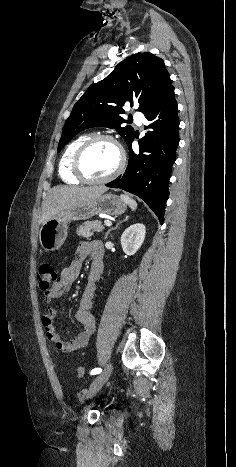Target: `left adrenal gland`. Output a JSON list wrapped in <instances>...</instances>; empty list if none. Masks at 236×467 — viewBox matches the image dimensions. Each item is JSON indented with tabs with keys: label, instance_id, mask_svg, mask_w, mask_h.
I'll return each instance as SVG.
<instances>
[{
	"label": "left adrenal gland",
	"instance_id": "obj_1",
	"mask_svg": "<svg viewBox=\"0 0 236 467\" xmlns=\"http://www.w3.org/2000/svg\"><path fill=\"white\" fill-rule=\"evenodd\" d=\"M128 218H129V217L127 216L124 220H122V221H120L119 223H117L116 226H115L114 228L109 229V230L106 232L105 238H104V239L106 240V239L108 238V235L110 234V232L113 231V230H115V229H117L118 226H119V224H121L122 222L127 221Z\"/></svg>",
	"mask_w": 236,
	"mask_h": 467
}]
</instances>
